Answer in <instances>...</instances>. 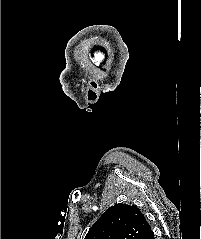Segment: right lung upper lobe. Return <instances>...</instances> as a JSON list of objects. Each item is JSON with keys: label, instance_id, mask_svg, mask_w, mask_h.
Masks as SVG:
<instances>
[{"label": "right lung upper lobe", "instance_id": "right-lung-upper-lobe-1", "mask_svg": "<svg viewBox=\"0 0 201 239\" xmlns=\"http://www.w3.org/2000/svg\"><path fill=\"white\" fill-rule=\"evenodd\" d=\"M85 239H154V233L137 206L120 203L101 215Z\"/></svg>", "mask_w": 201, "mask_h": 239}]
</instances>
